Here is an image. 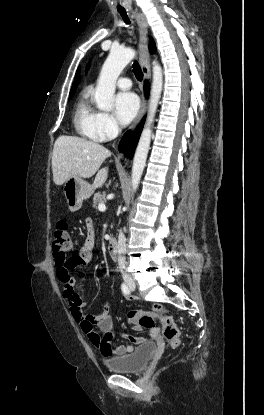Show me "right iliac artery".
I'll return each mask as SVG.
<instances>
[{"mask_svg": "<svg viewBox=\"0 0 264 415\" xmlns=\"http://www.w3.org/2000/svg\"><path fill=\"white\" fill-rule=\"evenodd\" d=\"M121 289H122V291H123V293L125 294V295H129L130 294V290H129V288L127 287V285L126 284H122L121 285Z\"/></svg>", "mask_w": 264, "mask_h": 415, "instance_id": "right-iliac-artery-1", "label": "right iliac artery"}]
</instances>
